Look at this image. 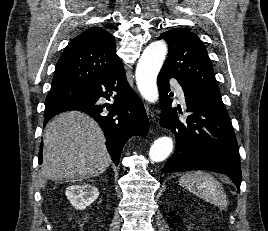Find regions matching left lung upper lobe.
<instances>
[{
	"instance_id": "left-lung-upper-lobe-1",
	"label": "left lung upper lobe",
	"mask_w": 268,
	"mask_h": 231,
	"mask_svg": "<svg viewBox=\"0 0 268 231\" xmlns=\"http://www.w3.org/2000/svg\"><path fill=\"white\" fill-rule=\"evenodd\" d=\"M160 39L168 44V57L161 71L174 76L226 111L207 50L198 36L185 29L174 28L162 33Z\"/></svg>"
}]
</instances>
